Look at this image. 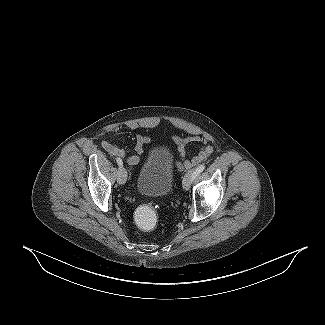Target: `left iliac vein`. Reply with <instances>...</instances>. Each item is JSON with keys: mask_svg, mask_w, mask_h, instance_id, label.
I'll list each match as a JSON object with an SVG mask.
<instances>
[{"mask_svg": "<svg viewBox=\"0 0 325 325\" xmlns=\"http://www.w3.org/2000/svg\"><path fill=\"white\" fill-rule=\"evenodd\" d=\"M193 176H194V171H189L185 174L182 185L184 190H188L192 184L193 181Z\"/></svg>", "mask_w": 325, "mask_h": 325, "instance_id": "obj_1", "label": "left iliac vein"}]
</instances>
